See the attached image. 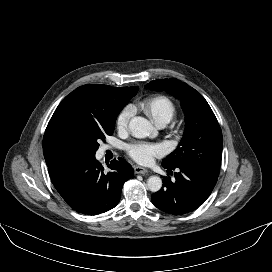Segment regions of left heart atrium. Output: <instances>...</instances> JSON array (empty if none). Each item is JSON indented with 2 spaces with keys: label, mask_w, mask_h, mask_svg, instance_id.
<instances>
[{
  "label": "left heart atrium",
  "mask_w": 272,
  "mask_h": 272,
  "mask_svg": "<svg viewBox=\"0 0 272 272\" xmlns=\"http://www.w3.org/2000/svg\"><path fill=\"white\" fill-rule=\"evenodd\" d=\"M129 156L138 163L148 164L153 158L161 156L163 149L159 145L134 143L127 147Z\"/></svg>",
  "instance_id": "left-heart-atrium-1"
}]
</instances>
